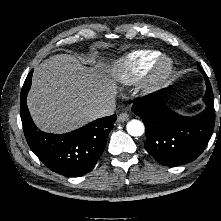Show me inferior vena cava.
<instances>
[{"mask_svg":"<svg viewBox=\"0 0 221 221\" xmlns=\"http://www.w3.org/2000/svg\"><path fill=\"white\" fill-rule=\"evenodd\" d=\"M115 107V101L110 100L107 103L96 107L91 115L94 119L110 116L114 113Z\"/></svg>","mask_w":221,"mask_h":221,"instance_id":"1","label":"inferior vena cava"}]
</instances>
